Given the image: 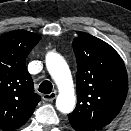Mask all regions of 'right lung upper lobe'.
Masks as SVG:
<instances>
[{
  "label": "right lung upper lobe",
  "instance_id": "obj_1",
  "mask_svg": "<svg viewBox=\"0 0 131 131\" xmlns=\"http://www.w3.org/2000/svg\"><path fill=\"white\" fill-rule=\"evenodd\" d=\"M41 36L15 30L0 36V129L14 131L31 117L41 100L34 93L25 59Z\"/></svg>",
  "mask_w": 131,
  "mask_h": 131
}]
</instances>
